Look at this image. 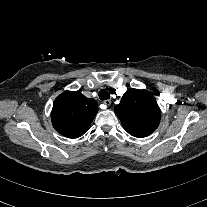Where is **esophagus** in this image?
Returning a JSON list of instances; mask_svg holds the SVG:
<instances>
[{"mask_svg": "<svg viewBox=\"0 0 207 207\" xmlns=\"http://www.w3.org/2000/svg\"><path fill=\"white\" fill-rule=\"evenodd\" d=\"M104 104L107 105V106H110L111 105V100H109V99L105 100Z\"/></svg>", "mask_w": 207, "mask_h": 207, "instance_id": "obj_1", "label": "esophagus"}]
</instances>
